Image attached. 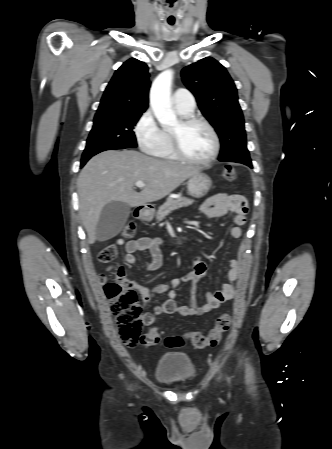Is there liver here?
<instances>
[{"instance_id":"obj_1","label":"liver","mask_w":332,"mask_h":449,"mask_svg":"<svg viewBox=\"0 0 332 449\" xmlns=\"http://www.w3.org/2000/svg\"><path fill=\"white\" fill-rule=\"evenodd\" d=\"M199 171L198 167L155 159L135 150H109L94 156L77 180L80 215L89 244L96 240V226L108 203L120 201L136 207L160 200ZM137 181L146 184L141 192L134 189Z\"/></svg>"}]
</instances>
